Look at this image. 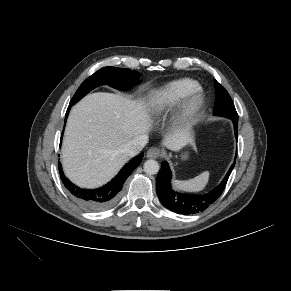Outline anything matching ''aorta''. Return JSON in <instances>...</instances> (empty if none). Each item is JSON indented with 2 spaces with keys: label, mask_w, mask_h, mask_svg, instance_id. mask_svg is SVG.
Masks as SVG:
<instances>
[{
  "label": "aorta",
  "mask_w": 291,
  "mask_h": 291,
  "mask_svg": "<svg viewBox=\"0 0 291 291\" xmlns=\"http://www.w3.org/2000/svg\"><path fill=\"white\" fill-rule=\"evenodd\" d=\"M144 171L149 175L157 174L159 171V164L157 161L150 159L144 163Z\"/></svg>",
  "instance_id": "1"
}]
</instances>
